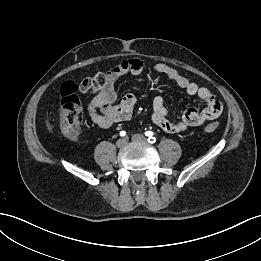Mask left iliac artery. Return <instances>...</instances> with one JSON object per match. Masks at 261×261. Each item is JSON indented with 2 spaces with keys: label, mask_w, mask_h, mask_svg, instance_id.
I'll return each instance as SVG.
<instances>
[{
  "label": "left iliac artery",
  "mask_w": 261,
  "mask_h": 261,
  "mask_svg": "<svg viewBox=\"0 0 261 261\" xmlns=\"http://www.w3.org/2000/svg\"><path fill=\"white\" fill-rule=\"evenodd\" d=\"M145 135L148 136V142L149 143H155L156 142V138L153 137V132L151 131H146Z\"/></svg>",
  "instance_id": "obj_1"
}]
</instances>
